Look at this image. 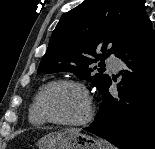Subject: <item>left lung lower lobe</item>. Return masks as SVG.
I'll return each mask as SVG.
<instances>
[{
  "mask_svg": "<svg viewBox=\"0 0 155 149\" xmlns=\"http://www.w3.org/2000/svg\"><path fill=\"white\" fill-rule=\"evenodd\" d=\"M115 56L123 61L118 97L103 87V101L84 130L120 149H155V31L147 18Z\"/></svg>",
  "mask_w": 155,
  "mask_h": 149,
  "instance_id": "0a47b994",
  "label": "left lung lower lobe"
}]
</instances>
